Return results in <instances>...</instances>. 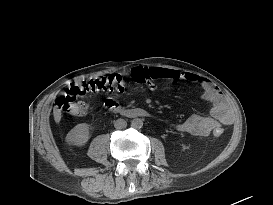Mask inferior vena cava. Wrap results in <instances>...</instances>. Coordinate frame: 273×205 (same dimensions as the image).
<instances>
[{
    "instance_id": "inferior-vena-cava-1",
    "label": "inferior vena cava",
    "mask_w": 273,
    "mask_h": 205,
    "mask_svg": "<svg viewBox=\"0 0 273 205\" xmlns=\"http://www.w3.org/2000/svg\"><path fill=\"white\" fill-rule=\"evenodd\" d=\"M114 126L116 129H124L127 126V122L124 119L120 118L114 122Z\"/></svg>"
}]
</instances>
